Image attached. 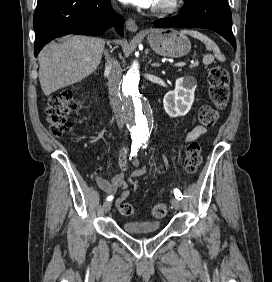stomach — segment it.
Here are the masks:
<instances>
[{"label":"stomach","instance_id":"stomach-1","mask_svg":"<svg viewBox=\"0 0 272 282\" xmlns=\"http://www.w3.org/2000/svg\"><path fill=\"white\" fill-rule=\"evenodd\" d=\"M147 40L153 51L161 56L182 57L191 49L189 39L173 29H152L148 32Z\"/></svg>","mask_w":272,"mask_h":282}]
</instances>
